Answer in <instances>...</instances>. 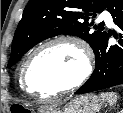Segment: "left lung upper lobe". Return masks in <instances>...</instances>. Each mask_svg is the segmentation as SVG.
<instances>
[{"instance_id":"left-lung-upper-lobe-1","label":"left lung upper lobe","mask_w":123,"mask_h":113,"mask_svg":"<svg viewBox=\"0 0 123 113\" xmlns=\"http://www.w3.org/2000/svg\"><path fill=\"white\" fill-rule=\"evenodd\" d=\"M110 0H30L16 29L8 68L33 46L56 35H74L87 41L94 52L107 33L104 24L91 20L105 10Z\"/></svg>"}]
</instances>
